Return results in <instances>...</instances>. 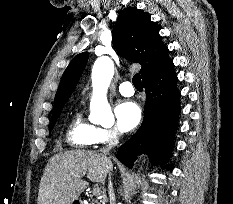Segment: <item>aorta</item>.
Wrapping results in <instances>:
<instances>
[{"mask_svg": "<svg viewBox=\"0 0 233 204\" xmlns=\"http://www.w3.org/2000/svg\"><path fill=\"white\" fill-rule=\"evenodd\" d=\"M114 75L112 60L103 56L98 58L92 68L93 95L90 102L89 119L102 126L112 125L114 115L107 100V90Z\"/></svg>", "mask_w": 233, "mask_h": 204, "instance_id": "obj_1", "label": "aorta"}]
</instances>
